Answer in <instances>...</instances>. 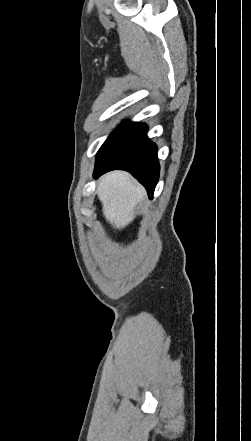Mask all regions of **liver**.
<instances>
[{"label":"liver","mask_w":251,"mask_h":441,"mask_svg":"<svg viewBox=\"0 0 251 441\" xmlns=\"http://www.w3.org/2000/svg\"><path fill=\"white\" fill-rule=\"evenodd\" d=\"M145 194V189L125 171L107 173L97 186L103 214L116 229H122L134 220L135 208Z\"/></svg>","instance_id":"obj_1"}]
</instances>
